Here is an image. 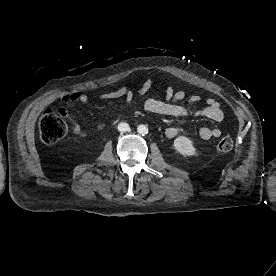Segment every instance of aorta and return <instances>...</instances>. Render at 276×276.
Listing matches in <instances>:
<instances>
[{
	"instance_id": "1",
	"label": "aorta",
	"mask_w": 276,
	"mask_h": 276,
	"mask_svg": "<svg viewBox=\"0 0 276 276\" xmlns=\"http://www.w3.org/2000/svg\"><path fill=\"white\" fill-rule=\"evenodd\" d=\"M137 131H138V133L141 134V135H146V134L148 133V128H147V126H145V125H139V126L137 127Z\"/></svg>"
}]
</instances>
